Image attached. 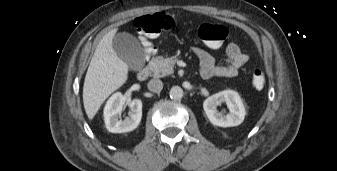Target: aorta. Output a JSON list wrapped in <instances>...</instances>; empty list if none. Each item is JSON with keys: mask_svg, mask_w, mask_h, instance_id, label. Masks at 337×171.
I'll use <instances>...</instances> for the list:
<instances>
[{"mask_svg": "<svg viewBox=\"0 0 337 171\" xmlns=\"http://www.w3.org/2000/svg\"><path fill=\"white\" fill-rule=\"evenodd\" d=\"M169 94H170L171 99L180 100V99H182V97L184 95V92H183V89L180 86H173L170 89Z\"/></svg>", "mask_w": 337, "mask_h": 171, "instance_id": "aorta-1", "label": "aorta"}]
</instances>
